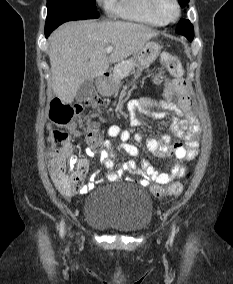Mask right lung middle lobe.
I'll list each match as a JSON object with an SVG mask.
<instances>
[{"label": "right lung middle lobe", "mask_w": 233, "mask_h": 284, "mask_svg": "<svg viewBox=\"0 0 233 284\" xmlns=\"http://www.w3.org/2000/svg\"><path fill=\"white\" fill-rule=\"evenodd\" d=\"M95 0H47L45 30H54L69 20L96 19Z\"/></svg>", "instance_id": "dd1d6c3e"}]
</instances>
